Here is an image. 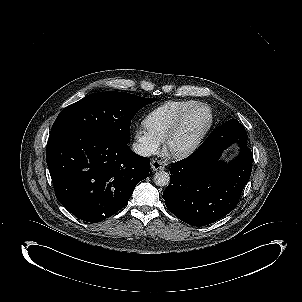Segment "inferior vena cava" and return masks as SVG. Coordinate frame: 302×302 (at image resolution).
Instances as JSON below:
<instances>
[{
  "label": "inferior vena cava",
  "instance_id": "obj_1",
  "mask_svg": "<svg viewBox=\"0 0 302 302\" xmlns=\"http://www.w3.org/2000/svg\"><path fill=\"white\" fill-rule=\"evenodd\" d=\"M132 150L133 152L141 156L149 157L152 155V150L148 146L142 143H138V142L133 143Z\"/></svg>",
  "mask_w": 302,
  "mask_h": 302
}]
</instances>
